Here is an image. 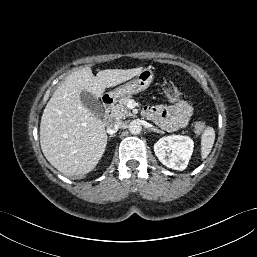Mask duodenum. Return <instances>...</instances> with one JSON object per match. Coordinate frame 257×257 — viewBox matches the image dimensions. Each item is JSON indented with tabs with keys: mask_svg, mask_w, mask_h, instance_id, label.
Masks as SVG:
<instances>
[{
	"mask_svg": "<svg viewBox=\"0 0 257 257\" xmlns=\"http://www.w3.org/2000/svg\"><path fill=\"white\" fill-rule=\"evenodd\" d=\"M113 105H114V98L109 95H105L103 97V109H104L103 122L105 124L109 123L111 120V109Z\"/></svg>",
	"mask_w": 257,
	"mask_h": 257,
	"instance_id": "1",
	"label": "duodenum"
}]
</instances>
